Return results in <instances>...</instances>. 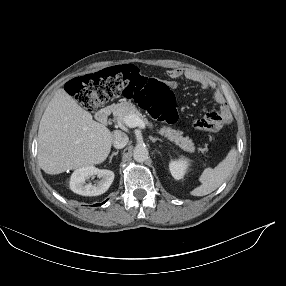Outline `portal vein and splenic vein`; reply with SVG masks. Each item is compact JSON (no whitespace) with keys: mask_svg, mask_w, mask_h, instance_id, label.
<instances>
[{"mask_svg":"<svg viewBox=\"0 0 286 286\" xmlns=\"http://www.w3.org/2000/svg\"><path fill=\"white\" fill-rule=\"evenodd\" d=\"M125 124L129 127H139L144 129L146 127L145 122L137 115L130 114L125 117Z\"/></svg>","mask_w":286,"mask_h":286,"instance_id":"1","label":"portal vein and splenic vein"}]
</instances>
